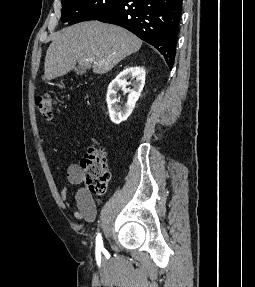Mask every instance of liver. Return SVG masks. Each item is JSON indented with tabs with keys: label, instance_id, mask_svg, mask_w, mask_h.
Segmentation results:
<instances>
[{
	"label": "liver",
	"instance_id": "liver-1",
	"mask_svg": "<svg viewBox=\"0 0 255 287\" xmlns=\"http://www.w3.org/2000/svg\"><path fill=\"white\" fill-rule=\"evenodd\" d=\"M142 40L124 28L102 22H81L53 36L44 64L45 80L65 76L76 64L107 74L118 62L138 52ZM93 58L94 62H87Z\"/></svg>",
	"mask_w": 255,
	"mask_h": 287
}]
</instances>
